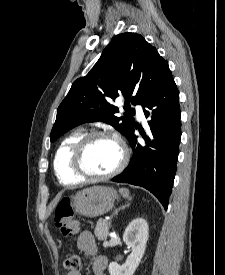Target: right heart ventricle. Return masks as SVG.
Listing matches in <instances>:
<instances>
[{"mask_svg":"<svg viewBox=\"0 0 225 275\" xmlns=\"http://www.w3.org/2000/svg\"><path fill=\"white\" fill-rule=\"evenodd\" d=\"M84 134L83 130L70 133L61 141L56 151L53 162L54 172L59 182L64 185L78 184L83 181L71 169V154L75 144Z\"/></svg>","mask_w":225,"mask_h":275,"instance_id":"1","label":"right heart ventricle"}]
</instances>
